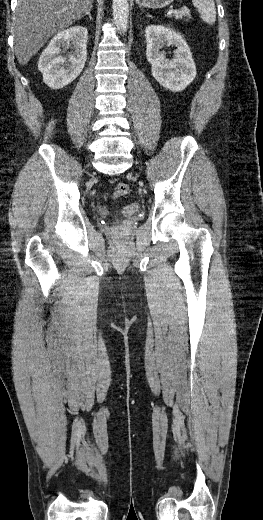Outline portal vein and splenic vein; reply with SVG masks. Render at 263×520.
I'll return each instance as SVG.
<instances>
[{
  "label": "portal vein and splenic vein",
  "mask_w": 263,
  "mask_h": 520,
  "mask_svg": "<svg viewBox=\"0 0 263 520\" xmlns=\"http://www.w3.org/2000/svg\"><path fill=\"white\" fill-rule=\"evenodd\" d=\"M172 13H174L173 9H169L168 12H167L168 15H171Z\"/></svg>",
  "instance_id": "18ae733b"
}]
</instances>
